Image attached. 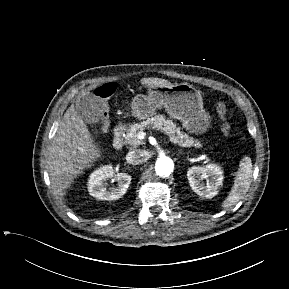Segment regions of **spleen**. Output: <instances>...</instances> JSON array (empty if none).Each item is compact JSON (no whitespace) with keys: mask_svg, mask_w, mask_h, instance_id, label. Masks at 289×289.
Wrapping results in <instances>:
<instances>
[{"mask_svg":"<svg viewBox=\"0 0 289 289\" xmlns=\"http://www.w3.org/2000/svg\"><path fill=\"white\" fill-rule=\"evenodd\" d=\"M252 162L249 157H245L240 161L239 169L236 172L234 184L227 198L223 201L224 209L231 208L236 205L248 192L252 181Z\"/></svg>","mask_w":289,"mask_h":289,"instance_id":"obj_1","label":"spleen"}]
</instances>
